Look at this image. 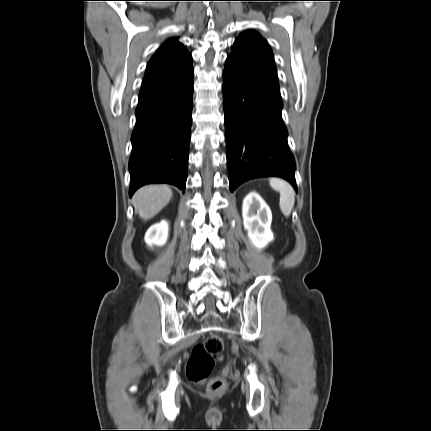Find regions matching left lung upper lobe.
<instances>
[{"instance_id": "left-lung-upper-lobe-1", "label": "left lung upper lobe", "mask_w": 431, "mask_h": 431, "mask_svg": "<svg viewBox=\"0 0 431 431\" xmlns=\"http://www.w3.org/2000/svg\"><path fill=\"white\" fill-rule=\"evenodd\" d=\"M225 67L279 88L270 46L257 33L245 32L235 40Z\"/></svg>"}]
</instances>
